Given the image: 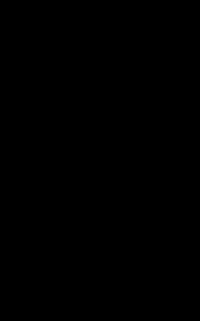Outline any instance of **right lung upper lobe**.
<instances>
[{"instance_id":"obj_1","label":"right lung upper lobe","mask_w":200,"mask_h":321,"mask_svg":"<svg viewBox=\"0 0 200 321\" xmlns=\"http://www.w3.org/2000/svg\"><path fill=\"white\" fill-rule=\"evenodd\" d=\"M92 122L57 124L51 126L34 137L27 145L33 143L46 144L55 147L62 154L72 158L73 149L80 138L86 131L92 127ZM25 147V148H26ZM30 180V176L22 175L16 171L15 174V190Z\"/></svg>"}]
</instances>
